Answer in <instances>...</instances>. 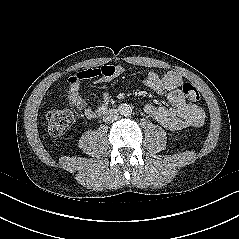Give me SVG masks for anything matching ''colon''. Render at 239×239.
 Returning <instances> with one entry per match:
<instances>
[{
	"label": "colon",
	"instance_id": "obj_1",
	"mask_svg": "<svg viewBox=\"0 0 239 239\" xmlns=\"http://www.w3.org/2000/svg\"><path fill=\"white\" fill-rule=\"evenodd\" d=\"M182 92L190 102H197L200 99L198 89L191 83H184ZM75 113L72 109H54L48 114V129L50 134L58 136L68 130L73 122Z\"/></svg>",
	"mask_w": 239,
	"mask_h": 239
}]
</instances>
